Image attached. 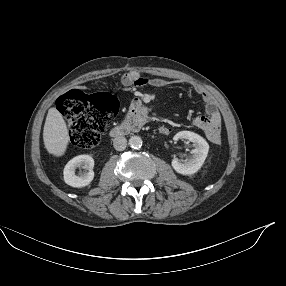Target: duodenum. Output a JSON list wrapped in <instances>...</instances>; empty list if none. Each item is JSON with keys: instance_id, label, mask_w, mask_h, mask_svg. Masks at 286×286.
Listing matches in <instances>:
<instances>
[{"instance_id": "1", "label": "duodenum", "mask_w": 286, "mask_h": 286, "mask_svg": "<svg viewBox=\"0 0 286 286\" xmlns=\"http://www.w3.org/2000/svg\"><path fill=\"white\" fill-rule=\"evenodd\" d=\"M135 115L131 116L128 120L124 121L119 125L113 126L109 130V135L111 137H120L128 134L131 131H138L142 128L144 124V120L142 118V114L144 113V109L136 108L133 109Z\"/></svg>"}]
</instances>
